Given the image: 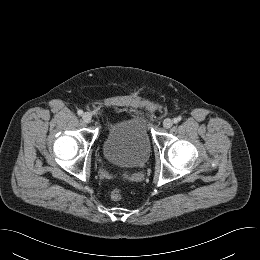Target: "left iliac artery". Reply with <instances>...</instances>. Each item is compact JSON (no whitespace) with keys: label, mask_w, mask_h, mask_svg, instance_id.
<instances>
[{"label":"left iliac artery","mask_w":260,"mask_h":260,"mask_svg":"<svg viewBox=\"0 0 260 260\" xmlns=\"http://www.w3.org/2000/svg\"><path fill=\"white\" fill-rule=\"evenodd\" d=\"M181 120V116H178L176 118L173 119V122L176 124Z\"/></svg>","instance_id":"obj_1"}]
</instances>
